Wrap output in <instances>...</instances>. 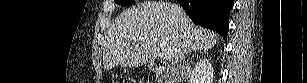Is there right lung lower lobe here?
<instances>
[{"instance_id": "obj_1", "label": "right lung lower lobe", "mask_w": 307, "mask_h": 83, "mask_svg": "<svg viewBox=\"0 0 307 83\" xmlns=\"http://www.w3.org/2000/svg\"><path fill=\"white\" fill-rule=\"evenodd\" d=\"M195 24L216 31L227 40L233 0H178Z\"/></svg>"}]
</instances>
